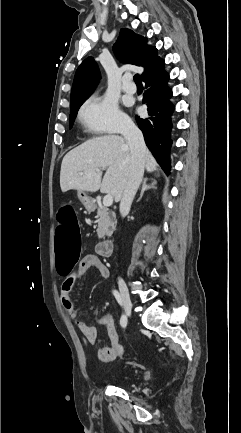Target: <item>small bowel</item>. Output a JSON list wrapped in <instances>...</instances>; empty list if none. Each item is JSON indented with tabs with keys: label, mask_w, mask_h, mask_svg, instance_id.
Wrapping results in <instances>:
<instances>
[{
	"label": "small bowel",
	"mask_w": 241,
	"mask_h": 433,
	"mask_svg": "<svg viewBox=\"0 0 241 433\" xmlns=\"http://www.w3.org/2000/svg\"><path fill=\"white\" fill-rule=\"evenodd\" d=\"M90 268H94L102 278L106 279L109 277V269L97 254H88L84 256L78 267L73 272L69 273L62 283L61 303L66 313L74 320L86 341L91 345H94L97 339L96 328L81 320L71 298V294L77 282ZM99 324L105 327L110 340V346L99 348L98 357L102 362L114 361L117 358L114 345L119 343V335L115 326L114 318L110 314L102 315L99 318Z\"/></svg>",
	"instance_id": "c3829d8e"
}]
</instances>
